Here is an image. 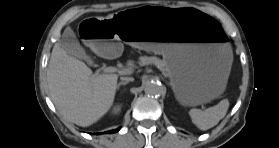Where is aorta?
Here are the masks:
<instances>
[{
    "instance_id": "1",
    "label": "aorta",
    "mask_w": 279,
    "mask_h": 148,
    "mask_svg": "<svg viewBox=\"0 0 279 148\" xmlns=\"http://www.w3.org/2000/svg\"><path fill=\"white\" fill-rule=\"evenodd\" d=\"M145 94L150 97H159L164 93V88L160 83L148 81L144 87Z\"/></svg>"
}]
</instances>
